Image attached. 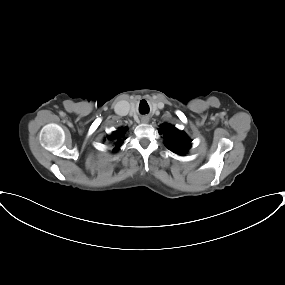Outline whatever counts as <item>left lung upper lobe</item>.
Here are the masks:
<instances>
[{
	"label": "left lung upper lobe",
	"instance_id": "5c2ea615",
	"mask_svg": "<svg viewBox=\"0 0 285 285\" xmlns=\"http://www.w3.org/2000/svg\"><path fill=\"white\" fill-rule=\"evenodd\" d=\"M159 133L165 136L164 144L168 149L179 155H185L191 147V140L185 132L179 131L170 124H162Z\"/></svg>",
	"mask_w": 285,
	"mask_h": 285
}]
</instances>
